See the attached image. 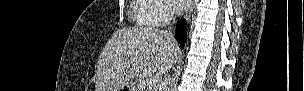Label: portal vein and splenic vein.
Instances as JSON below:
<instances>
[{"label":"portal vein and splenic vein","instance_id":"obj_1","mask_svg":"<svg viewBox=\"0 0 304 91\" xmlns=\"http://www.w3.org/2000/svg\"><path fill=\"white\" fill-rule=\"evenodd\" d=\"M158 84V79L152 78L146 81L145 85L147 89H154Z\"/></svg>","mask_w":304,"mask_h":91}]
</instances>
